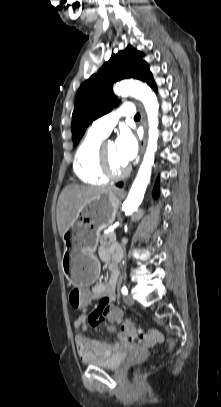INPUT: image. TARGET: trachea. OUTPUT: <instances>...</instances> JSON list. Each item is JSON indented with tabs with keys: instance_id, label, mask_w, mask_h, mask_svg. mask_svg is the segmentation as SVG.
I'll return each instance as SVG.
<instances>
[{
	"instance_id": "obj_1",
	"label": "trachea",
	"mask_w": 221,
	"mask_h": 407,
	"mask_svg": "<svg viewBox=\"0 0 221 407\" xmlns=\"http://www.w3.org/2000/svg\"><path fill=\"white\" fill-rule=\"evenodd\" d=\"M134 119H135V120L140 119V114H139V113H137V114L134 116Z\"/></svg>"
}]
</instances>
